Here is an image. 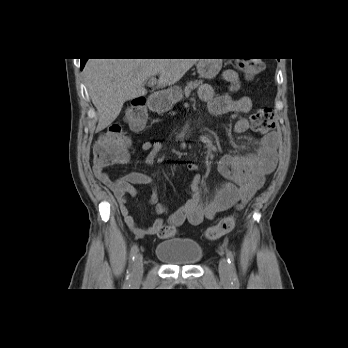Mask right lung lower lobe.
<instances>
[{
    "label": "right lung lower lobe",
    "mask_w": 348,
    "mask_h": 348,
    "mask_svg": "<svg viewBox=\"0 0 348 348\" xmlns=\"http://www.w3.org/2000/svg\"><path fill=\"white\" fill-rule=\"evenodd\" d=\"M87 59H81V68H83L85 62H86Z\"/></svg>",
    "instance_id": "1"
}]
</instances>
